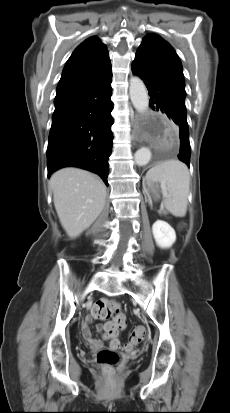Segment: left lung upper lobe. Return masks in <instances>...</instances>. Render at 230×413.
Here are the masks:
<instances>
[{"mask_svg": "<svg viewBox=\"0 0 230 413\" xmlns=\"http://www.w3.org/2000/svg\"><path fill=\"white\" fill-rule=\"evenodd\" d=\"M137 52H143L155 58L184 83L183 69L178 55L172 46L159 35L154 33L146 35Z\"/></svg>", "mask_w": 230, "mask_h": 413, "instance_id": "5c2ea615", "label": "left lung upper lobe"}]
</instances>
